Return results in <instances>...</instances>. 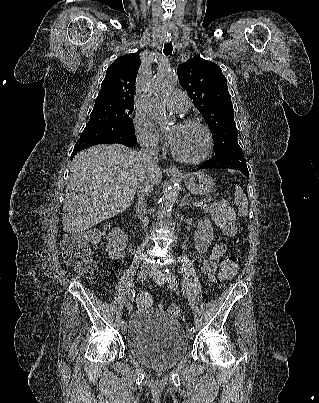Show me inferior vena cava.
Segmentation results:
<instances>
[{
    "mask_svg": "<svg viewBox=\"0 0 319 403\" xmlns=\"http://www.w3.org/2000/svg\"><path fill=\"white\" fill-rule=\"evenodd\" d=\"M140 146H141V150L139 152L140 160L146 168V175L144 176L138 188L139 193L138 208L142 213V215H144L143 224L144 228L146 229L149 223L148 218L145 216L147 212L146 198L153 189L154 183L151 176L152 172L158 168L157 165L158 157L155 142H153L152 140L147 139L141 140Z\"/></svg>",
    "mask_w": 319,
    "mask_h": 403,
    "instance_id": "obj_1",
    "label": "inferior vena cava"
}]
</instances>
